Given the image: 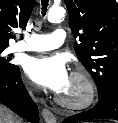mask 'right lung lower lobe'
Returning <instances> with one entry per match:
<instances>
[{"label": "right lung lower lobe", "instance_id": "98d812e1", "mask_svg": "<svg viewBox=\"0 0 118 123\" xmlns=\"http://www.w3.org/2000/svg\"><path fill=\"white\" fill-rule=\"evenodd\" d=\"M0 103L32 123L39 121L38 107L30 98L19 70L9 76H0Z\"/></svg>", "mask_w": 118, "mask_h": 123}]
</instances>
